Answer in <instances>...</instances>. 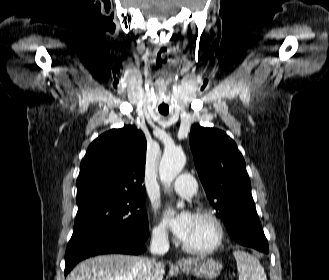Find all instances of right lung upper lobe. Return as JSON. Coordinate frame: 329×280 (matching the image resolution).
Segmentation results:
<instances>
[{"label": "right lung upper lobe", "instance_id": "right-lung-upper-lobe-1", "mask_svg": "<svg viewBox=\"0 0 329 280\" xmlns=\"http://www.w3.org/2000/svg\"><path fill=\"white\" fill-rule=\"evenodd\" d=\"M146 139L135 126L112 129L95 139L80 164L77 198L145 197Z\"/></svg>", "mask_w": 329, "mask_h": 280}]
</instances>
